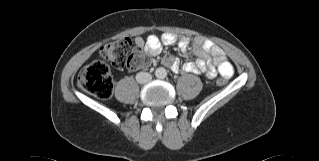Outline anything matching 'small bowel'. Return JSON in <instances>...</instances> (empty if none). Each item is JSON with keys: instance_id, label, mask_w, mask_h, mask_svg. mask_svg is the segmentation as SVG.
I'll return each mask as SVG.
<instances>
[{"instance_id": "obj_1", "label": "small bowel", "mask_w": 319, "mask_h": 161, "mask_svg": "<svg viewBox=\"0 0 319 161\" xmlns=\"http://www.w3.org/2000/svg\"><path fill=\"white\" fill-rule=\"evenodd\" d=\"M136 43L139 46L144 47L150 54L158 55L161 52L162 44L172 45L177 43L183 52L188 51L192 48L193 53L199 58L195 64L187 63L183 66V70L186 72H199L206 69L207 66V56L211 53L214 58V66H211L206 71L205 75L209 79H213L216 73L219 72L220 75L229 78L233 75V67L229 61L226 60L222 49L218 46L212 45L208 41H202L201 39H196L191 41L188 36H175L171 33H165L162 36L155 34L149 35L146 38L138 37L136 38ZM166 65L173 71L178 72L181 66L178 60L174 57H169L166 60Z\"/></svg>"}]
</instances>
